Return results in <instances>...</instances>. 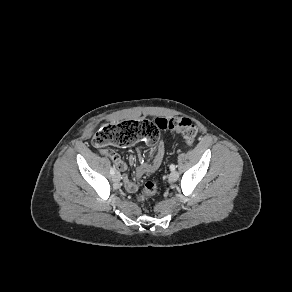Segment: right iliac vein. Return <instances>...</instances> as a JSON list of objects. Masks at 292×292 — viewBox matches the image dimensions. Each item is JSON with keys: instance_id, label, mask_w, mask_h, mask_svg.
<instances>
[{"instance_id": "63e3f726", "label": "right iliac vein", "mask_w": 292, "mask_h": 292, "mask_svg": "<svg viewBox=\"0 0 292 292\" xmlns=\"http://www.w3.org/2000/svg\"><path fill=\"white\" fill-rule=\"evenodd\" d=\"M112 180H113L115 183H119L120 180H121V175H120L118 172H116V173L113 175Z\"/></svg>"}]
</instances>
